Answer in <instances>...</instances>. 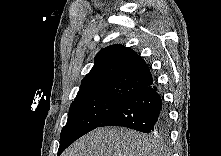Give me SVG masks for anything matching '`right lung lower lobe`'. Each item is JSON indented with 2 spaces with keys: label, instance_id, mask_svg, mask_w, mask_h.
<instances>
[{
  "label": "right lung lower lobe",
  "instance_id": "obj_1",
  "mask_svg": "<svg viewBox=\"0 0 221 156\" xmlns=\"http://www.w3.org/2000/svg\"><path fill=\"white\" fill-rule=\"evenodd\" d=\"M103 126H123L144 133H164L168 126L167 108L152 84L119 105L99 127Z\"/></svg>",
  "mask_w": 221,
  "mask_h": 156
}]
</instances>
